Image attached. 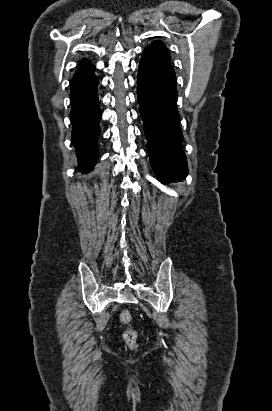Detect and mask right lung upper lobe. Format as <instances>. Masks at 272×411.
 <instances>
[{
  "label": "right lung upper lobe",
  "mask_w": 272,
  "mask_h": 411,
  "mask_svg": "<svg viewBox=\"0 0 272 411\" xmlns=\"http://www.w3.org/2000/svg\"><path fill=\"white\" fill-rule=\"evenodd\" d=\"M94 66L85 59L79 61L77 74L73 77L70 90L81 88L95 78Z\"/></svg>",
  "instance_id": "right-lung-upper-lobe-1"
}]
</instances>
